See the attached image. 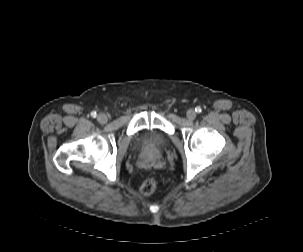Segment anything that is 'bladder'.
<instances>
[{
	"label": "bladder",
	"mask_w": 303,
	"mask_h": 252,
	"mask_svg": "<svg viewBox=\"0 0 303 252\" xmlns=\"http://www.w3.org/2000/svg\"><path fill=\"white\" fill-rule=\"evenodd\" d=\"M169 146V138L162 132L147 130L136 141V147L140 151L162 152Z\"/></svg>",
	"instance_id": "bladder-1"
}]
</instances>
